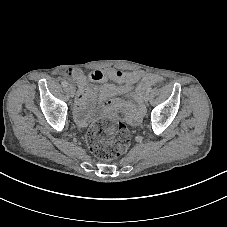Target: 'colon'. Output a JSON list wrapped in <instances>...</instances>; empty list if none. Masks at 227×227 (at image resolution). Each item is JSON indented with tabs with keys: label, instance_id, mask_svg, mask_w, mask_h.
Wrapping results in <instances>:
<instances>
[{
	"label": "colon",
	"instance_id": "colon-1",
	"mask_svg": "<svg viewBox=\"0 0 227 227\" xmlns=\"http://www.w3.org/2000/svg\"><path fill=\"white\" fill-rule=\"evenodd\" d=\"M72 73V70L68 71L69 75ZM86 140L97 158L108 161L117 158L128 148L130 133L120 122L100 120L89 128Z\"/></svg>",
	"mask_w": 227,
	"mask_h": 227
}]
</instances>
